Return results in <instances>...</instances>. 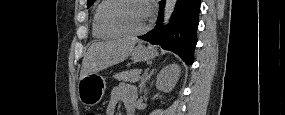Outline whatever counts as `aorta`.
Listing matches in <instances>:
<instances>
[{
    "label": "aorta",
    "instance_id": "obj_1",
    "mask_svg": "<svg viewBox=\"0 0 285 115\" xmlns=\"http://www.w3.org/2000/svg\"><path fill=\"white\" fill-rule=\"evenodd\" d=\"M176 2H177L176 0H166L164 7V20H163L164 25H167L169 23L171 15L175 9Z\"/></svg>",
    "mask_w": 285,
    "mask_h": 115
}]
</instances>
